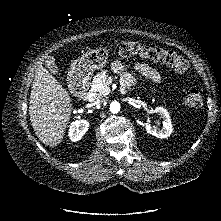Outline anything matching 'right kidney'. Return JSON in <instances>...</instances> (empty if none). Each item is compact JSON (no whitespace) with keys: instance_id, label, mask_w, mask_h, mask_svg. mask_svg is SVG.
I'll return each mask as SVG.
<instances>
[{"instance_id":"right-kidney-1","label":"right kidney","mask_w":221,"mask_h":221,"mask_svg":"<svg viewBox=\"0 0 221 221\" xmlns=\"http://www.w3.org/2000/svg\"><path fill=\"white\" fill-rule=\"evenodd\" d=\"M89 127V122L86 120H78L72 122L69 128L68 136L73 142L81 140L83 135L87 132Z\"/></svg>"}]
</instances>
